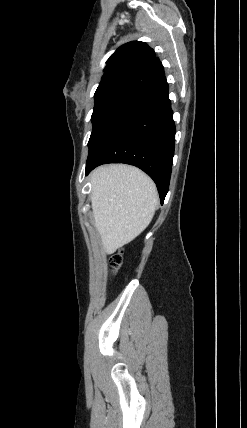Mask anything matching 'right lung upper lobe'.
I'll return each mask as SVG.
<instances>
[{"mask_svg":"<svg viewBox=\"0 0 247 428\" xmlns=\"http://www.w3.org/2000/svg\"><path fill=\"white\" fill-rule=\"evenodd\" d=\"M163 77V66L154 50L144 42L132 41L110 56L95 94L114 89L141 93Z\"/></svg>","mask_w":247,"mask_h":428,"instance_id":"cb5924a9","label":"right lung upper lobe"}]
</instances>
